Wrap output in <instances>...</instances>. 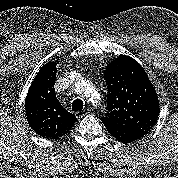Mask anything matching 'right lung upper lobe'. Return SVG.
<instances>
[{
    "instance_id": "1",
    "label": "right lung upper lobe",
    "mask_w": 178,
    "mask_h": 178,
    "mask_svg": "<svg viewBox=\"0 0 178 178\" xmlns=\"http://www.w3.org/2000/svg\"><path fill=\"white\" fill-rule=\"evenodd\" d=\"M56 63L45 64L34 78L26 97L25 110L29 126L39 136L59 139L77 121L56 98L54 83Z\"/></svg>"
}]
</instances>
